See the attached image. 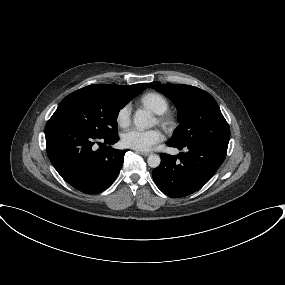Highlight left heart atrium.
I'll use <instances>...</instances> for the list:
<instances>
[{"instance_id": "left-heart-atrium-1", "label": "left heart atrium", "mask_w": 285, "mask_h": 285, "mask_svg": "<svg viewBox=\"0 0 285 285\" xmlns=\"http://www.w3.org/2000/svg\"><path fill=\"white\" fill-rule=\"evenodd\" d=\"M163 140V134L158 129H130L122 135V143L128 148L138 151H148Z\"/></svg>"}]
</instances>
